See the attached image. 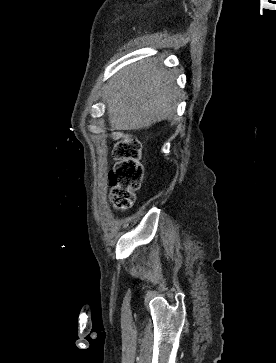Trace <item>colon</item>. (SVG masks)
<instances>
[{"label": "colon", "mask_w": 276, "mask_h": 363, "mask_svg": "<svg viewBox=\"0 0 276 363\" xmlns=\"http://www.w3.org/2000/svg\"><path fill=\"white\" fill-rule=\"evenodd\" d=\"M113 138L117 141L113 150L116 163L109 173L110 200L116 209L125 210L133 205L143 177L141 145L120 132H114Z\"/></svg>", "instance_id": "1"}]
</instances>
